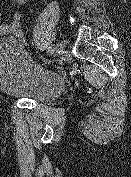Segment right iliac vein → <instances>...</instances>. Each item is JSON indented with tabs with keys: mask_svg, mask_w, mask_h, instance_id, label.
Segmentation results:
<instances>
[{
	"mask_svg": "<svg viewBox=\"0 0 131 177\" xmlns=\"http://www.w3.org/2000/svg\"><path fill=\"white\" fill-rule=\"evenodd\" d=\"M63 51V46L61 44H57L56 46V49H55V52L56 53H60Z\"/></svg>",
	"mask_w": 131,
	"mask_h": 177,
	"instance_id": "1",
	"label": "right iliac vein"
}]
</instances>
